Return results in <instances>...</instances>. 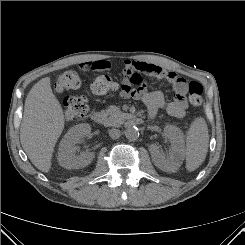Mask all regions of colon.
I'll list each match as a JSON object with an SVG mask.
<instances>
[{"label":"colon","mask_w":245,"mask_h":245,"mask_svg":"<svg viewBox=\"0 0 245 245\" xmlns=\"http://www.w3.org/2000/svg\"><path fill=\"white\" fill-rule=\"evenodd\" d=\"M133 80L140 83L142 78L135 75ZM79 77L75 71L62 73L56 82V89L61 93H66L78 88ZM91 90L94 94L104 95L117 88L116 82L110 75L104 74L95 77L91 82ZM189 100L193 106H199L202 102L203 86L198 81H190L188 84ZM89 111V105L83 96H69L64 101V115L67 121L83 118Z\"/></svg>","instance_id":"5ec220e1"}]
</instances>
